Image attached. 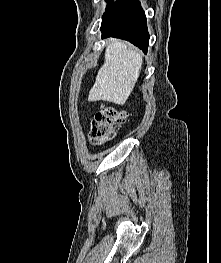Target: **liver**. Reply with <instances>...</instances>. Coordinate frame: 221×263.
<instances>
[{"label": "liver", "instance_id": "6515ba94", "mask_svg": "<svg viewBox=\"0 0 221 263\" xmlns=\"http://www.w3.org/2000/svg\"><path fill=\"white\" fill-rule=\"evenodd\" d=\"M142 55L122 40L106 48L105 61L89 91V101H108L123 105L127 101L142 69Z\"/></svg>", "mask_w": 221, "mask_h": 263}]
</instances>
